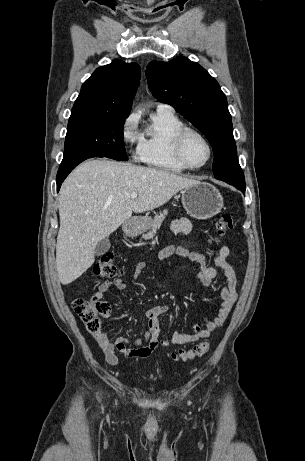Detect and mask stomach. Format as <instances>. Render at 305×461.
<instances>
[{
	"mask_svg": "<svg viewBox=\"0 0 305 461\" xmlns=\"http://www.w3.org/2000/svg\"><path fill=\"white\" fill-rule=\"evenodd\" d=\"M181 200L186 212L197 219H208L218 214L223 208V197L211 184L198 182L181 191ZM151 218L137 217L123 225L124 233L135 237L150 228Z\"/></svg>",
	"mask_w": 305,
	"mask_h": 461,
	"instance_id": "stomach-1",
	"label": "stomach"
}]
</instances>
